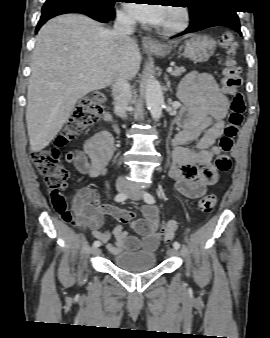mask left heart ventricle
I'll list each match as a JSON object with an SVG mask.
<instances>
[{
	"mask_svg": "<svg viewBox=\"0 0 270 338\" xmlns=\"http://www.w3.org/2000/svg\"><path fill=\"white\" fill-rule=\"evenodd\" d=\"M178 20V13L173 8H168L159 22V26L168 25L176 22Z\"/></svg>",
	"mask_w": 270,
	"mask_h": 338,
	"instance_id": "left-heart-ventricle-1",
	"label": "left heart ventricle"
}]
</instances>
